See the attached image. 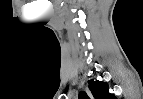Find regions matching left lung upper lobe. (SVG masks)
<instances>
[{
  "mask_svg": "<svg viewBox=\"0 0 143 99\" xmlns=\"http://www.w3.org/2000/svg\"><path fill=\"white\" fill-rule=\"evenodd\" d=\"M89 89L94 99H116L114 94L109 93V86L106 82L91 79L88 81ZM79 99H89L86 92L79 93Z\"/></svg>",
  "mask_w": 143,
  "mask_h": 99,
  "instance_id": "1",
  "label": "left lung upper lobe"
}]
</instances>
